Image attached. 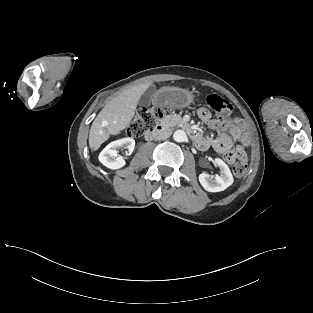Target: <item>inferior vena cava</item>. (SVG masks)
<instances>
[{
  "label": "inferior vena cava",
  "mask_w": 313,
  "mask_h": 313,
  "mask_svg": "<svg viewBox=\"0 0 313 313\" xmlns=\"http://www.w3.org/2000/svg\"><path fill=\"white\" fill-rule=\"evenodd\" d=\"M171 133L172 132L170 129L163 130L161 133L157 135L156 140H165L171 135Z\"/></svg>",
  "instance_id": "1"
}]
</instances>
